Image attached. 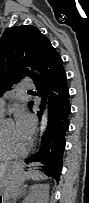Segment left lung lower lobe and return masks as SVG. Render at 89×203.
Returning a JSON list of instances; mask_svg holds the SVG:
<instances>
[{"mask_svg": "<svg viewBox=\"0 0 89 203\" xmlns=\"http://www.w3.org/2000/svg\"><path fill=\"white\" fill-rule=\"evenodd\" d=\"M39 71H41L42 78L36 75L33 80L37 94L43 98L38 116L41 118L44 111L45 93H47L50 95L48 102L49 119L47 129L41 139L40 150L26 159L25 162H40L39 170L59 181L63 166L65 133L69 128L70 104L63 61L51 44L44 51Z\"/></svg>", "mask_w": 89, "mask_h": 203, "instance_id": "obj_1", "label": "left lung lower lobe"}]
</instances>
